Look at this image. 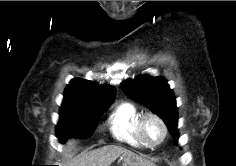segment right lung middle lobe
Returning a JSON list of instances; mask_svg holds the SVG:
<instances>
[{"label":"right lung middle lobe","mask_w":236,"mask_h":166,"mask_svg":"<svg viewBox=\"0 0 236 166\" xmlns=\"http://www.w3.org/2000/svg\"><path fill=\"white\" fill-rule=\"evenodd\" d=\"M106 107H87L81 105L63 104L60 109V120L57 125V137L65 141L69 137H88L98 123Z\"/></svg>","instance_id":"dd1d6c3e"}]
</instances>
